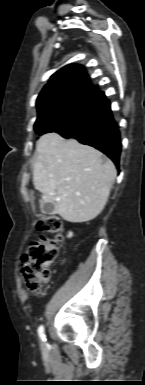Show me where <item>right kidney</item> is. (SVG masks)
I'll return each mask as SVG.
<instances>
[{
    "label": "right kidney",
    "instance_id": "right-kidney-1",
    "mask_svg": "<svg viewBox=\"0 0 145 385\" xmlns=\"http://www.w3.org/2000/svg\"><path fill=\"white\" fill-rule=\"evenodd\" d=\"M68 237H72V232H69Z\"/></svg>",
    "mask_w": 145,
    "mask_h": 385
}]
</instances>
